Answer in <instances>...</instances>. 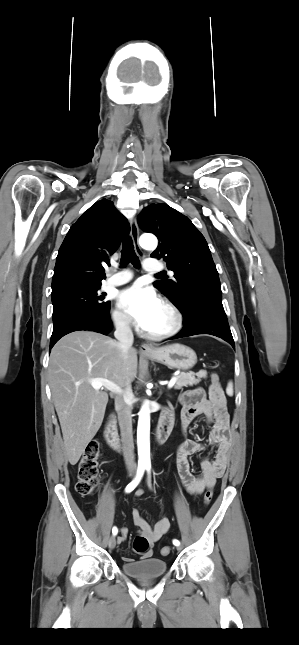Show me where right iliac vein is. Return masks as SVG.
Listing matches in <instances>:
<instances>
[{"label":"right iliac vein","instance_id":"obj_1","mask_svg":"<svg viewBox=\"0 0 299 645\" xmlns=\"http://www.w3.org/2000/svg\"><path fill=\"white\" fill-rule=\"evenodd\" d=\"M108 545H109V548H110V549H114V548H115V546H116V538H115L114 536H112V537L109 539Z\"/></svg>","mask_w":299,"mask_h":645}]
</instances>
